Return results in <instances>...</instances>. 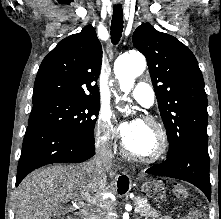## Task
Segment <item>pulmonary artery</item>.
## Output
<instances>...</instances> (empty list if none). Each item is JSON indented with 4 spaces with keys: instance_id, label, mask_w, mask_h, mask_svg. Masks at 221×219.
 Here are the masks:
<instances>
[{
    "instance_id": "pulmonary-artery-1",
    "label": "pulmonary artery",
    "mask_w": 221,
    "mask_h": 219,
    "mask_svg": "<svg viewBox=\"0 0 221 219\" xmlns=\"http://www.w3.org/2000/svg\"><path fill=\"white\" fill-rule=\"evenodd\" d=\"M130 93L139 104L146 108H150L154 104L153 90L147 84H138Z\"/></svg>"
}]
</instances>
